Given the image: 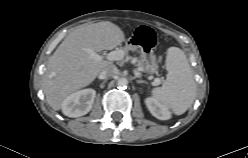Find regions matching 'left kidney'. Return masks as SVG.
Wrapping results in <instances>:
<instances>
[{"label":"left kidney","mask_w":248,"mask_h":158,"mask_svg":"<svg viewBox=\"0 0 248 158\" xmlns=\"http://www.w3.org/2000/svg\"><path fill=\"white\" fill-rule=\"evenodd\" d=\"M145 103L150 113L157 119L168 120L171 118V112L155 98H146Z\"/></svg>","instance_id":"left-kidney-1"}]
</instances>
